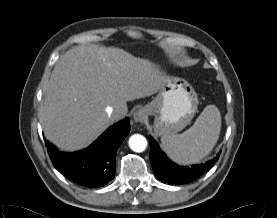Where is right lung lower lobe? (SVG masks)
<instances>
[{
  "label": "right lung lower lobe",
  "instance_id": "1",
  "mask_svg": "<svg viewBox=\"0 0 277 218\" xmlns=\"http://www.w3.org/2000/svg\"><path fill=\"white\" fill-rule=\"evenodd\" d=\"M130 130L129 119L108 128L92 145L75 153H64L47 142L55 168L69 180L89 187H101L115 176L117 149Z\"/></svg>",
  "mask_w": 277,
  "mask_h": 218
}]
</instances>
